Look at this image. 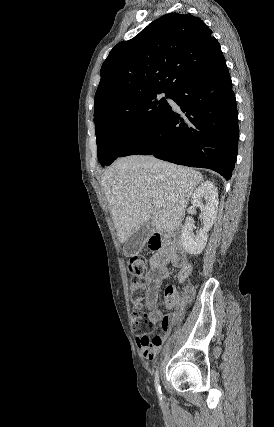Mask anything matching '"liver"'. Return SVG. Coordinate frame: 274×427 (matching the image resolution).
Masks as SVG:
<instances>
[{
	"mask_svg": "<svg viewBox=\"0 0 274 427\" xmlns=\"http://www.w3.org/2000/svg\"><path fill=\"white\" fill-rule=\"evenodd\" d=\"M202 180L196 170L152 156L118 158L102 174L101 184L120 243L149 219L159 231L177 229ZM155 202H161L156 210Z\"/></svg>",
	"mask_w": 274,
	"mask_h": 427,
	"instance_id": "1",
	"label": "liver"
}]
</instances>
